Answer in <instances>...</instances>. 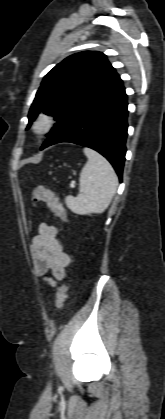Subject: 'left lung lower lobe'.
Returning a JSON list of instances; mask_svg holds the SVG:
<instances>
[{
	"label": "left lung lower lobe",
	"mask_w": 165,
	"mask_h": 419,
	"mask_svg": "<svg viewBox=\"0 0 165 419\" xmlns=\"http://www.w3.org/2000/svg\"><path fill=\"white\" fill-rule=\"evenodd\" d=\"M127 105L125 88L118 76L70 114L40 149L60 142L92 148L107 158L122 180L128 128Z\"/></svg>",
	"instance_id": "obj_1"
}]
</instances>
